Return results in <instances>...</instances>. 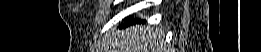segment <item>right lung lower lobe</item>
I'll use <instances>...</instances> for the list:
<instances>
[{
	"label": "right lung lower lobe",
	"instance_id": "obj_1",
	"mask_svg": "<svg viewBox=\"0 0 261 52\" xmlns=\"http://www.w3.org/2000/svg\"><path fill=\"white\" fill-rule=\"evenodd\" d=\"M141 22L143 23L144 21L136 20V19H135V20H132V21H131V20L128 21L127 24H129V23H141Z\"/></svg>",
	"mask_w": 261,
	"mask_h": 52
}]
</instances>
